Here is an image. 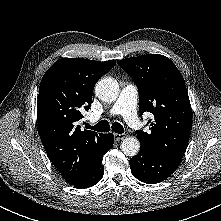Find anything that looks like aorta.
<instances>
[{"mask_svg": "<svg viewBox=\"0 0 221 221\" xmlns=\"http://www.w3.org/2000/svg\"><path fill=\"white\" fill-rule=\"evenodd\" d=\"M96 96L104 102H113L119 95L118 82L111 77L99 80L95 86ZM121 149L127 156H135L140 150V142L136 137H126L121 142Z\"/></svg>", "mask_w": 221, "mask_h": 221, "instance_id": "1", "label": "aorta"}]
</instances>
